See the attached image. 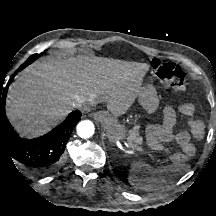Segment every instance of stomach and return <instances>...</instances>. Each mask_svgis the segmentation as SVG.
Returning a JSON list of instances; mask_svg holds the SVG:
<instances>
[{"mask_svg":"<svg viewBox=\"0 0 216 216\" xmlns=\"http://www.w3.org/2000/svg\"><path fill=\"white\" fill-rule=\"evenodd\" d=\"M138 102L149 114L155 113L159 106L156 90L152 86L141 87ZM104 129L110 142L123 141L127 136L126 130L121 126H113L105 122Z\"/></svg>","mask_w":216,"mask_h":216,"instance_id":"0dacf381","label":"stomach"}]
</instances>
